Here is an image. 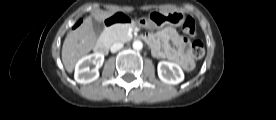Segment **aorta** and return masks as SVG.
Returning <instances> with one entry per match:
<instances>
[{
	"label": "aorta",
	"instance_id": "obj_1",
	"mask_svg": "<svg viewBox=\"0 0 276 120\" xmlns=\"http://www.w3.org/2000/svg\"><path fill=\"white\" fill-rule=\"evenodd\" d=\"M142 48H143V43H142L140 40H135V41L133 42V49H134V50L139 51V50H141Z\"/></svg>",
	"mask_w": 276,
	"mask_h": 120
}]
</instances>
